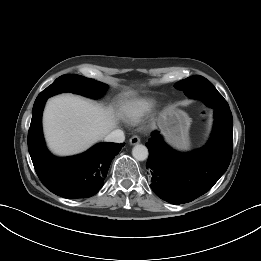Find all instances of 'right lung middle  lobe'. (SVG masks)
Returning <instances> with one entry per match:
<instances>
[{
  "label": "right lung middle lobe",
  "instance_id": "dd1d6c3e",
  "mask_svg": "<svg viewBox=\"0 0 261 261\" xmlns=\"http://www.w3.org/2000/svg\"><path fill=\"white\" fill-rule=\"evenodd\" d=\"M107 85L93 79H88L76 74H67L57 78L50 86L43 90L37 97H51L61 92H73L91 98L100 97ZM35 101V102H36Z\"/></svg>",
  "mask_w": 261,
  "mask_h": 261
}]
</instances>
